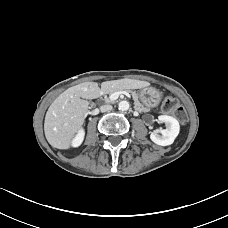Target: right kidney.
<instances>
[{"mask_svg":"<svg viewBox=\"0 0 228 228\" xmlns=\"http://www.w3.org/2000/svg\"><path fill=\"white\" fill-rule=\"evenodd\" d=\"M84 135H85V133H84L83 129H80L79 132L77 133V135L75 136V138L72 141V146L73 147L80 146L81 143L84 140Z\"/></svg>","mask_w":228,"mask_h":228,"instance_id":"right-kidney-1","label":"right kidney"}]
</instances>
